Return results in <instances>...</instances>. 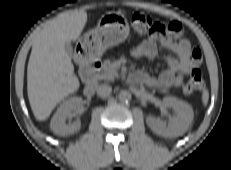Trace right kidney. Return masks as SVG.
<instances>
[{
	"label": "right kidney",
	"instance_id": "1",
	"mask_svg": "<svg viewBox=\"0 0 231 170\" xmlns=\"http://www.w3.org/2000/svg\"><path fill=\"white\" fill-rule=\"evenodd\" d=\"M82 105L83 100L81 97H73L63 102L51 120V130L61 136L70 135L79 131L81 128L80 120L69 124L66 123V120L71 119L72 111L81 108Z\"/></svg>",
	"mask_w": 231,
	"mask_h": 170
}]
</instances>
